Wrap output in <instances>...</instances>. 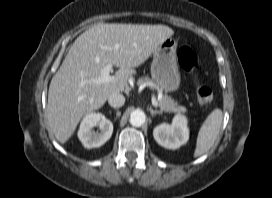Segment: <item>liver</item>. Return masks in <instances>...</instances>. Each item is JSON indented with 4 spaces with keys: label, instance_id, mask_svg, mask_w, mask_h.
Listing matches in <instances>:
<instances>
[{
    "label": "liver",
    "instance_id": "6515ba94",
    "mask_svg": "<svg viewBox=\"0 0 272 198\" xmlns=\"http://www.w3.org/2000/svg\"><path fill=\"white\" fill-rule=\"evenodd\" d=\"M173 34L165 25L116 23H98L83 32L49 86L47 118L55 138L64 144L82 117L101 108L111 94L127 91L135 68ZM115 44L118 50L112 49ZM107 64L119 67L114 82L94 83Z\"/></svg>",
    "mask_w": 272,
    "mask_h": 198
}]
</instances>
